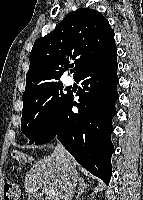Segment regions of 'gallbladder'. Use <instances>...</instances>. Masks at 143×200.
Masks as SVG:
<instances>
[{
  "mask_svg": "<svg viewBox=\"0 0 143 200\" xmlns=\"http://www.w3.org/2000/svg\"><path fill=\"white\" fill-rule=\"evenodd\" d=\"M31 200H40V198L39 197H34V198H31Z\"/></svg>",
  "mask_w": 143,
  "mask_h": 200,
  "instance_id": "obj_1",
  "label": "gallbladder"
}]
</instances>
